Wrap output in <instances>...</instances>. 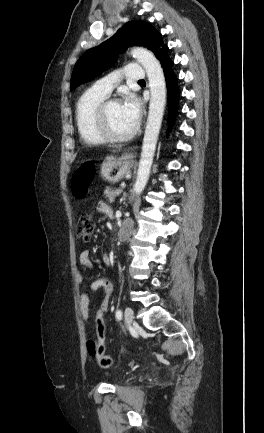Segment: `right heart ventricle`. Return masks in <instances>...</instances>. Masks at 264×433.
Returning a JSON list of instances; mask_svg holds the SVG:
<instances>
[{"instance_id":"1","label":"right heart ventricle","mask_w":264,"mask_h":433,"mask_svg":"<svg viewBox=\"0 0 264 433\" xmlns=\"http://www.w3.org/2000/svg\"><path fill=\"white\" fill-rule=\"evenodd\" d=\"M107 96L95 90H86L78 99L75 109V120L81 140L86 144H100L105 140L98 133L94 124L97 107Z\"/></svg>"}]
</instances>
